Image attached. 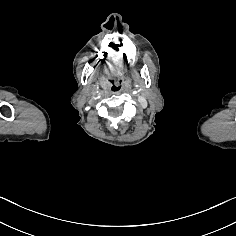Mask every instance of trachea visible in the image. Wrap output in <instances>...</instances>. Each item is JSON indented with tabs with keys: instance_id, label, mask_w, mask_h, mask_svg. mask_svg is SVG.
I'll return each mask as SVG.
<instances>
[{
	"instance_id": "obj_1",
	"label": "trachea",
	"mask_w": 236,
	"mask_h": 236,
	"mask_svg": "<svg viewBox=\"0 0 236 236\" xmlns=\"http://www.w3.org/2000/svg\"><path fill=\"white\" fill-rule=\"evenodd\" d=\"M111 91H112V93H114V94H119V93H121V91H122V86H121V84H119V83H114V84H112V86H111Z\"/></svg>"
}]
</instances>
